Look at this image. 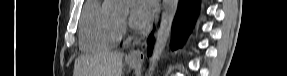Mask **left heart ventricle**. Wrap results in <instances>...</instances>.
<instances>
[{
    "instance_id": "b2bd125f",
    "label": "left heart ventricle",
    "mask_w": 287,
    "mask_h": 76,
    "mask_svg": "<svg viewBox=\"0 0 287 76\" xmlns=\"http://www.w3.org/2000/svg\"><path fill=\"white\" fill-rule=\"evenodd\" d=\"M117 17L120 18V19H122V20H125L126 17H127V12L119 13Z\"/></svg>"
}]
</instances>
